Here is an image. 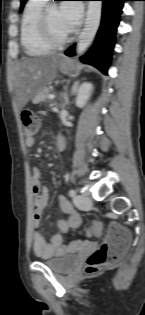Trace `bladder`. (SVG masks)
I'll return each mask as SVG.
<instances>
[{"label":"bladder","mask_w":145,"mask_h":315,"mask_svg":"<svg viewBox=\"0 0 145 315\" xmlns=\"http://www.w3.org/2000/svg\"><path fill=\"white\" fill-rule=\"evenodd\" d=\"M41 261L54 272L64 274L78 265L79 258L69 254L58 258H42Z\"/></svg>","instance_id":"bladder-1"}]
</instances>
